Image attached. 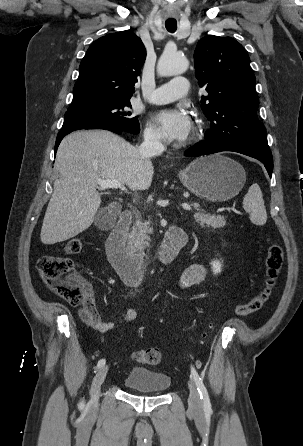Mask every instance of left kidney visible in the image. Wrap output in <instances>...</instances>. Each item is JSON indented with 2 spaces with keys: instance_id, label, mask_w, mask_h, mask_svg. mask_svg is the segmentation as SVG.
Listing matches in <instances>:
<instances>
[{
  "instance_id": "left-kidney-1",
  "label": "left kidney",
  "mask_w": 303,
  "mask_h": 446,
  "mask_svg": "<svg viewBox=\"0 0 303 446\" xmlns=\"http://www.w3.org/2000/svg\"><path fill=\"white\" fill-rule=\"evenodd\" d=\"M211 268H212V271H213V273L216 275V274H219L220 272H221V270H222V263H221V261H219V260H213L211 263Z\"/></svg>"
}]
</instances>
